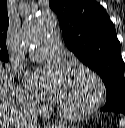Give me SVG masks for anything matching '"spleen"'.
Returning <instances> with one entry per match:
<instances>
[{"mask_svg": "<svg viewBox=\"0 0 125 128\" xmlns=\"http://www.w3.org/2000/svg\"><path fill=\"white\" fill-rule=\"evenodd\" d=\"M119 127H120V128H125V117L122 118V119L119 121Z\"/></svg>", "mask_w": 125, "mask_h": 128, "instance_id": "1", "label": "spleen"}]
</instances>
